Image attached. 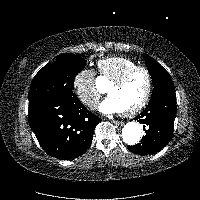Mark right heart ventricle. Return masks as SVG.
<instances>
[{"instance_id":"obj_1","label":"right heart ventricle","mask_w":200,"mask_h":200,"mask_svg":"<svg viewBox=\"0 0 200 200\" xmlns=\"http://www.w3.org/2000/svg\"><path fill=\"white\" fill-rule=\"evenodd\" d=\"M136 67L139 65L135 61L124 56H111L98 61L100 75L110 83Z\"/></svg>"}]
</instances>
